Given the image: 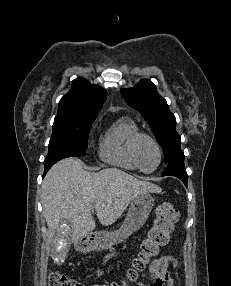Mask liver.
Masks as SVG:
<instances>
[{
  "label": "liver",
  "mask_w": 231,
  "mask_h": 286,
  "mask_svg": "<svg viewBox=\"0 0 231 286\" xmlns=\"http://www.w3.org/2000/svg\"><path fill=\"white\" fill-rule=\"evenodd\" d=\"M161 188L140 181L116 168L87 172L77 158H66L56 163L42 184L43 214L50 237L60 233L65 220L71 222L69 240L76 243L95 229L91 215L94 208L99 222L113 224L134 197L142 193H159Z\"/></svg>",
  "instance_id": "liver-1"
}]
</instances>
